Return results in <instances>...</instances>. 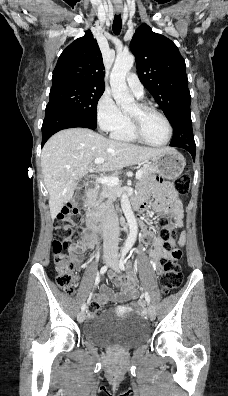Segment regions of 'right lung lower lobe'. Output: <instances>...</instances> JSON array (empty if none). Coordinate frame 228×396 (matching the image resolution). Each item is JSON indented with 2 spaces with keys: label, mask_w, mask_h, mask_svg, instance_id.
<instances>
[{
  "label": "right lung lower lobe",
  "mask_w": 228,
  "mask_h": 396,
  "mask_svg": "<svg viewBox=\"0 0 228 396\" xmlns=\"http://www.w3.org/2000/svg\"><path fill=\"white\" fill-rule=\"evenodd\" d=\"M97 122L62 107L46 108L42 125V146L56 132L75 127L96 129Z\"/></svg>",
  "instance_id": "1"
}]
</instances>
